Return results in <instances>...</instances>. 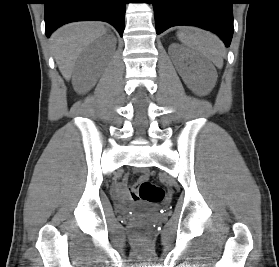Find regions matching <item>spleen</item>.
Instances as JSON below:
<instances>
[{"label":"spleen","mask_w":279,"mask_h":267,"mask_svg":"<svg viewBox=\"0 0 279 267\" xmlns=\"http://www.w3.org/2000/svg\"><path fill=\"white\" fill-rule=\"evenodd\" d=\"M177 36L184 45L197 51L216 67H223L225 48L217 36L196 28H182L177 32Z\"/></svg>","instance_id":"obj_1"}]
</instances>
